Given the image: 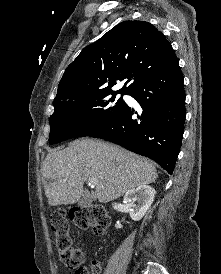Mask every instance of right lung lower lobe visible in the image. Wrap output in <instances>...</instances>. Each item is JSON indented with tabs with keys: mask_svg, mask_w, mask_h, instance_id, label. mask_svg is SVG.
Listing matches in <instances>:
<instances>
[{
	"mask_svg": "<svg viewBox=\"0 0 221 274\" xmlns=\"http://www.w3.org/2000/svg\"><path fill=\"white\" fill-rule=\"evenodd\" d=\"M128 95L141 106L142 115L127 104L116 117L89 137L101 138L156 161L172 174L184 132L185 91L176 61L142 81Z\"/></svg>",
	"mask_w": 221,
	"mask_h": 274,
	"instance_id": "1",
	"label": "right lung lower lobe"
}]
</instances>
